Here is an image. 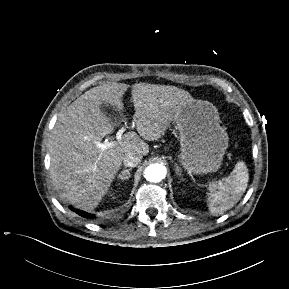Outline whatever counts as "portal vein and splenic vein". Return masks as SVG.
I'll return each instance as SVG.
<instances>
[{
    "label": "portal vein and splenic vein",
    "instance_id": "portal-vein-and-splenic-vein-1",
    "mask_svg": "<svg viewBox=\"0 0 289 289\" xmlns=\"http://www.w3.org/2000/svg\"><path fill=\"white\" fill-rule=\"evenodd\" d=\"M125 129L121 128L117 133H116V139L117 141H104L103 143L101 142H96L97 147H99L101 150H105L108 148H111L116 145L117 142L121 141L122 139V134L124 133Z\"/></svg>",
    "mask_w": 289,
    "mask_h": 289
}]
</instances>
